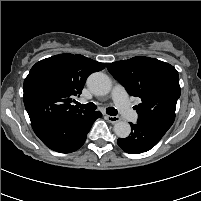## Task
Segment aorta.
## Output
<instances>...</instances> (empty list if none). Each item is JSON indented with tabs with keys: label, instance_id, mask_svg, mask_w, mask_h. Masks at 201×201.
Listing matches in <instances>:
<instances>
[{
	"label": "aorta",
	"instance_id": "762f6f07",
	"mask_svg": "<svg viewBox=\"0 0 201 201\" xmlns=\"http://www.w3.org/2000/svg\"><path fill=\"white\" fill-rule=\"evenodd\" d=\"M87 86L95 95L102 96L111 91L112 83L106 74L95 72L88 77ZM114 132L119 138H127L131 132V126L128 122L118 121L114 125Z\"/></svg>",
	"mask_w": 201,
	"mask_h": 201
}]
</instances>
